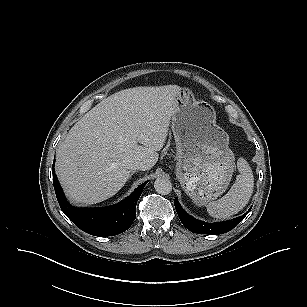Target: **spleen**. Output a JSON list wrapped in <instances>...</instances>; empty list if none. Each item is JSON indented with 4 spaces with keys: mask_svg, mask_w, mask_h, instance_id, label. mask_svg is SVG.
Wrapping results in <instances>:
<instances>
[{
    "mask_svg": "<svg viewBox=\"0 0 307 307\" xmlns=\"http://www.w3.org/2000/svg\"><path fill=\"white\" fill-rule=\"evenodd\" d=\"M240 172L229 192L218 201L210 202L207 211L210 216L219 219H227L237 214L249 202L254 187V177L248 162L240 157L237 162Z\"/></svg>",
    "mask_w": 307,
    "mask_h": 307,
    "instance_id": "3e777b00",
    "label": "spleen"
}]
</instances>
